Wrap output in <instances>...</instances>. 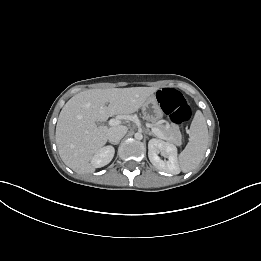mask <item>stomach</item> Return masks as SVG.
<instances>
[{"mask_svg": "<svg viewBox=\"0 0 261 261\" xmlns=\"http://www.w3.org/2000/svg\"><path fill=\"white\" fill-rule=\"evenodd\" d=\"M142 111L144 116L149 120L160 118L162 116L160 105L155 95H151L146 100L142 106Z\"/></svg>", "mask_w": 261, "mask_h": 261, "instance_id": "0dacf381", "label": "stomach"}]
</instances>
